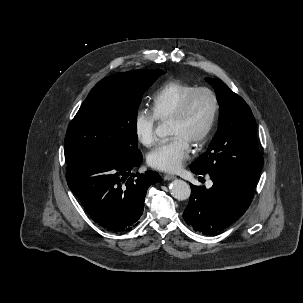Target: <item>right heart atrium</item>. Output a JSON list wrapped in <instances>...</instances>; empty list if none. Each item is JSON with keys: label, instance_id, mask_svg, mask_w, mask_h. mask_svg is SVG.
Returning <instances> with one entry per match:
<instances>
[{"label": "right heart atrium", "instance_id": "right-heart-atrium-1", "mask_svg": "<svg viewBox=\"0 0 303 303\" xmlns=\"http://www.w3.org/2000/svg\"><path fill=\"white\" fill-rule=\"evenodd\" d=\"M157 120L152 113L139 111L136 113L133 121L134 132L144 146L150 147L156 140Z\"/></svg>", "mask_w": 303, "mask_h": 303}]
</instances>
